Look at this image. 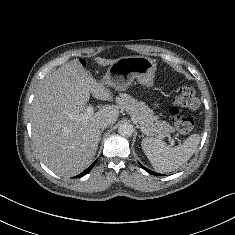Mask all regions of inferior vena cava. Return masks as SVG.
Listing matches in <instances>:
<instances>
[{
  "instance_id": "inferior-vena-cava-1",
  "label": "inferior vena cava",
  "mask_w": 235,
  "mask_h": 235,
  "mask_svg": "<svg viewBox=\"0 0 235 235\" xmlns=\"http://www.w3.org/2000/svg\"><path fill=\"white\" fill-rule=\"evenodd\" d=\"M110 124L111 123L109 120H104L99 123L98 127L99 129H104V128H107Z\"/></svg>"
}]
</instances>
